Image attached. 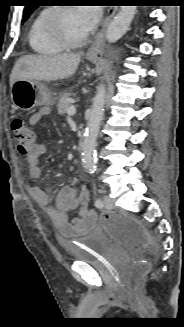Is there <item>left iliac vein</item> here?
<instances>
[{
	"mask_svg": "<svg viewBox=\"0 0 184 327\" xmlns=\"http://www.w3.org/2000/svg\"><path fill=\"white\" fill-rule=\"evenodd\" d=\"M103 201H104V205H105L106 208H108V209L113 208V202H112V200L110 199L109 196L104 195L103 196Z\"/></svg>",
	"mask_w": 184,
	"mask_h": 327,
	"instance_id": "4c4485c4",
	"label": "left iliac vein"
}]
</instances>
